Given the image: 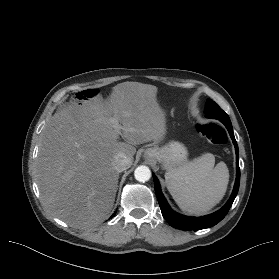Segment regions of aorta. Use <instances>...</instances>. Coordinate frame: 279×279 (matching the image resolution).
Segmentation results:
<instances>
[{
	"mask_svg": "<svg viewBox=\"0 0 279 279\" xmlns=\"http://www.w3.org/2000/svg\"><path fill=\"white\" fill-rule=\"evenodd\" d=\"M135 179L139 182H146L151 178V171L149 167L141 165L134 171Z\"/></svg>",
	"mask_w": 279,
	"mask_h": 279,
	"instance_id": "1",
	"label": "aorta"
}]
</instances>
